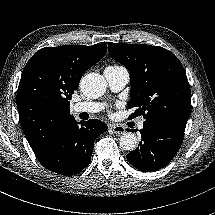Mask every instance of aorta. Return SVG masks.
<instances>
[{
	"label": "aorta",
	"instance_id": "obj_1",
	"mask_svg": "<svg viewBox=\"0 0 215 215\" xmlns=\"http://www.w3.org/2000/svg\"><path fill=\"white\" fill-rule=\"evenodd\" d=\"M106 86V80L97 73L86 74L80 80V89L89 98L102 96ZM119 146L125 151L132 152L138 146L137 137L133 133L125 132L119 137Z\"/></svg>",
	"mask_w": 215,
	"mask_h": 215
}]
</instances>
